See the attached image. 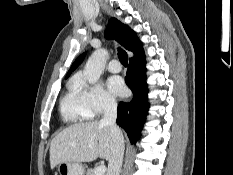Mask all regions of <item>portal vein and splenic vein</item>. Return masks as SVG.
Segmentation results:
<instances>
[{
    "mask_svg": "<svg viewBox=\"0 0 233 175\" xmlns=\"http://www.w3.org/2000/svg\"><path fill=\"white\" fill-rule=\"evenodd\" d=\"M106 172L105 165H100L95 169V175H104Z\"/></svg>",
    "mask_w": 233,
    "mask_h": 175,
    "instance_id": "obj_1",
    "label": "portal vein and splenic vein"
}]
</instances>
